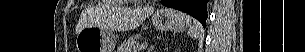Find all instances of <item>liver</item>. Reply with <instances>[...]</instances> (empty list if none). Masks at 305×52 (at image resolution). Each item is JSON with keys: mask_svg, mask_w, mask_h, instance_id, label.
I'll use <instances>...</instances> for the list:
<instances>
[{"mask_svg": "<svg viewBox=\"0 0 305 52\" xmlns=\"http://www.w3.org/2000/svg\"><path fill=\"white\" fill-rule=\"evenodd\" d=\"M153 8H129L121 5H114L110 12L109 16V27L112 30L117 31H128L138 27L151 13ZM96 26L93 24L91 17L87 15V12L84 11L81 15V18L76 26V34H78L82 29Z\"/></svg>", "mask_w": 305, "mask_h": 52, "instance_id": "1", "label": "liver"}]
</instances>
